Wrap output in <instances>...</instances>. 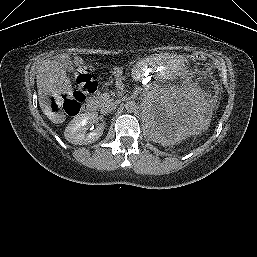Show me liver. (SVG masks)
Masks as SVG:
<instances>
[{
	"instance_id": "obj_1",
	"label": "liver",
	"mask_w": 257,
	"mask_h": 257,
	"mask_svg": "<svg viewBox=\"0 0 257 257\" xmlns=\"http://www.w3.org/2000/svg\"><path fill=\"white\" fill-rule=\"evenodd\" d=\"M36 78L39 104L43 113L55 124L63 122L64 114L52 111L49 106V98L59 93V72L50 61H45L39 66Z\"/></svg>"
}]
</instances>
